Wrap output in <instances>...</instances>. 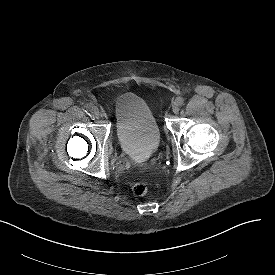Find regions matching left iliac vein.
I'll list each match as a JSON object with an SVG mask.
<instances>
[{"label":"left iliac vein","mask_w":275,"mask_h":275,"mask_svg":"<svg viewBox=\"0 0 275 275\" xmlns=\"http://www.w3.org/2000/svg\"><path fill=\"white\" fill-rule=\"evenodd\" d=\"M172 111L175 114H177L179 112V105L177 104V102L173 103V105H172Z\"/></svg>","instance_id":"4c4485c4"}]
</instances>
